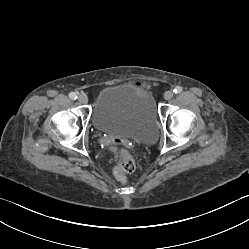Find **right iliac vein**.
<instances>
[{"instance_id":"63e3f726","label":"right iliac vein","mask_w":249,"mask_h":249,"mask_svg":"<svg viewBox=\"0 0 249 249\" xmlns=\"http://www.w3.org/2000/svg\"><path fill=\"white\" fill-rule=\"evenodd\" d=\"M78 101H79L80 103L86 104V103L88 102V98H87L86 95L80 94V95L78 96Z\"/></svg>"}]
</instances>
